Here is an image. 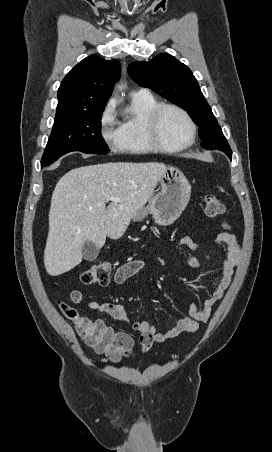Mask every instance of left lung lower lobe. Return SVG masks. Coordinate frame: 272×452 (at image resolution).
I'll return each mask as SVG.
<instances>
[{
	"instance_id": "obj_1",
	"label": "left lung lower lobe",
	"mask_w": 272,
	"mask_h": 452,
	"mask_svg": "<svg viewBox=\"0 0 272 452\" xmlns=\"http://www.w3.org/2000/svg\"><path fill=\"white\" fill-rule=\"evenodd\" d=\"M228 157H229L230 159H232V154H230Z\"/></svg>"
}]
</instances>
